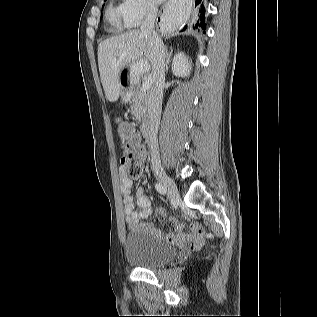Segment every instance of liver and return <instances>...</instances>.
Returning <instances> with one entry per match:
<instances>
[{
	"label": "liver",
	"mask_w": 317,
	"mask_h": 317,
	"mask_svg": "<svg viewBox=\"0 0 317 317\" xmlns=\"http://www.w3.org/2000/svg\"><path fill=\"white\" fill-rule=\"evenodd\" d=\"M153 60L152 44L140 30L128 31L102 41L98 46V66L107 100L115 102L121 94L119 77L122 69L136 64L139 73L148 71ZM142 62L146 66L140 70L138 64Z\"/></svg>",
	"instance_id": "6515ba94"
}]
</instances>
